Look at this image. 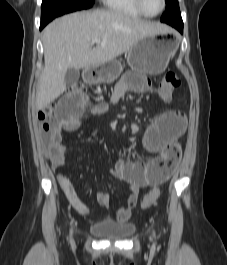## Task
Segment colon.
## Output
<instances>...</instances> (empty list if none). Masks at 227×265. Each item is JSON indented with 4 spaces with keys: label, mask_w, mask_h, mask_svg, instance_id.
I'll list each match as a JSON object with an SVG mask.
<instances>
[{
    "label": "colon",
    "mask_w": 227,
    "mask_h": 265,
    "mask_svg": "<svg viewBox=\"0 0 227 265\" xmlns=\"http://www.w3.org/2000/svg\"><path fill=\"white\" fill-rule=\"evenodd\" d=\"M182 85V80L178 76L177 73L173 71H169L163 77L160 87L159 94L160 97L164 101H170L175 89L179 88ZM71 87H82V91H84V87L81 84H74ZM69 91V89L67 90ZM54 107L47 106L43 110H41L38 114L40 121L42 122L43 129L49 133L51 129V119L53 116ZM47 139L45 140V143ZM180 158V148H170L164 154L157 158V162L159 167L164 170L167 174H171L173 170L176 168L178 161ZM160 196V189L158 187H154L150 190L142 199L141 207L148 208L152 206Z\"/></svg>",
    "instance_id": "1"
}]
</instances>
